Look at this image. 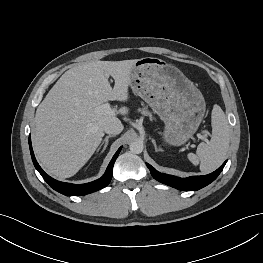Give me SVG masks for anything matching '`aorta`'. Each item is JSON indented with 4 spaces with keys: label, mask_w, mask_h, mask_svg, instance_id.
I'll return each mask as SVG.
<instances>
[{
    "label": "aorta",
    "mask_w": 263,
    "mask_h": 263,
    "mask_svg": "<svg viewBox=\"0 0 263 263\" xmlns=\"http://www.w3.org/2000/svg\"><path fill=\"white\" fill-rule=\"evenodd\" d=\"M129 149L134 154H140L143 151V143L140 141H133L130 143Z\"/></svg>",
    "instance_id": "762f6f07"
}]
</instances>
